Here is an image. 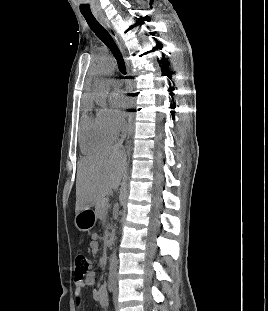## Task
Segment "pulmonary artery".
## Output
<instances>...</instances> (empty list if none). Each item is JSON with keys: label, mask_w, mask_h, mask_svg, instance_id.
<instances>
[{"label": "pulmonary artery", "mask_w": 268, "mask_h": 311, "mask_svg": "<svg viewBox=\"0 0 268 311\" xmlns=\"http://www.w3.org/2000/svg\"><path fill=\"white\" fill-rule=\"evenodd\" d=\"M109 83L114 89H118L122 86V80L120 79H110Z\"/></svg>", "instance_id": "e3ab8cb5"}]
</instances>
